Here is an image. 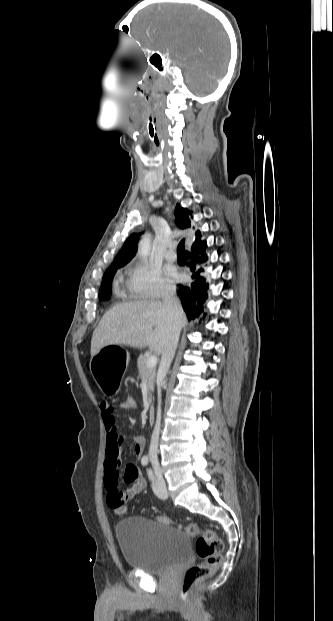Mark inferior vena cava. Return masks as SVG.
Returning a JSON list of instances; mask_svg holds the SVG:
<instances>
[{"label": "inferior vena cava", "mask_w": 333, "mask_h": 621, "mask_svg": "<svg viewBox=\"0 0 333 621\" xmlns=\"http://www.w3.org/2000/svg\"><path fill=\"white\" fill-rule=\"evenodd\" d=\"M163 303L167 310V315L170 319V327L168 331V335L166 338L164 350L161 356V361L159 365V375L160 378L166 376L167 371L172 363V360L175 355V351L178 345V340L181 331V325L178 321L179 312L181 310V305L179 300L176 298L175 290L169 291L164 299ZM160 423H161V389H158V412H157V420L156 424L151 436V442L149 447V459L152 465L158 464V442H159V434H160Z\"/></svg>", "instance_id": "1"}]
</instances>
